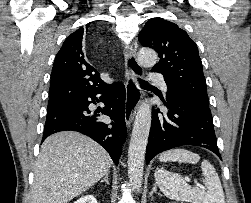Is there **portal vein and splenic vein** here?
Instances as JSON below:
<instances>
[{"label": "portal vein and splenic vein", "instance_id": "portal-vein-and-splenic-vein-1", "mask_svg": "<svg viewBox=\"0 0 251 203\" xmlns=\"http://www.w3.org/2000/svg\"><path fill=\"white\" fill-rule=\"evenodd\" d=\"M196 185L200 188H204L200 183H197Z\"/></svg>", "mask_w": 251, "mask_h": 203}]
</instances>
